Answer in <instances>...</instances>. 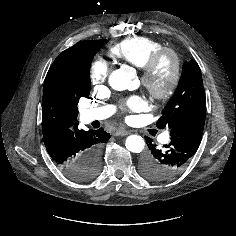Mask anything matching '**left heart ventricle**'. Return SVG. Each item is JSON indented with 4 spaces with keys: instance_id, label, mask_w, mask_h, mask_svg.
I'll use <instances>...</instances> for the list:
<instances>
[{
    "instance_id": "obj_1",
    "label": "left heart ventricle",
    "mask_w": 236,
    "mask_h": 236,
    "mask_svg": "<svg viewBox=\"0 0 236 236\" xmlns=\"http://www.w3.org/2000/svg\"><path fill=\"white\" fill-rule=\"evenodd\" d=\"M172 71V61L170 58H165L159 65L154 80L161 86H166Z\"/></svg>"
}]
</instances>
